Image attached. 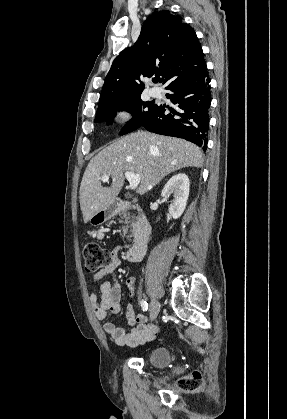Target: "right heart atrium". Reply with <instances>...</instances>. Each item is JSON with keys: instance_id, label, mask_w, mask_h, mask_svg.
I'll use <instances>...</instances> for the list:
<instances>
[{"instance_id": "obj_1", "label": "right heart atrium", "mask_w": 287, "mask_h": 419, "mask_svg": "<svg viewBox=\"0 0 287 419\" xmlns=\"http://www.w3.org/2000/svg\"><path fill=\"white\" fill-rule=\"evenodd\" d=\"M131 118L130 113L125 110V109H117L114 113V121L119 124V125H123L125 123H127Z\"/></svg>"}]
</instances>
